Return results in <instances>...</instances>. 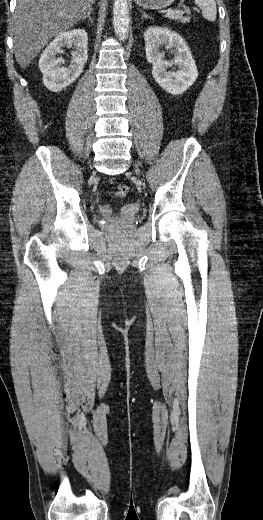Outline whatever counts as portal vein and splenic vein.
I'll use <instances>...</instances> for the list:
<instances>
[{
	"label": "portal vein and splenic vein",
	"instance_id": "18ae733b",
	"mask_svg": "<svg viewBox=\"0 0 263 520\" xmlns=\"http://www.w3.org/2000/svg\"><path fill=\"white\" fill-rule=\"evenodd\" d=\"M171 14H172V10H167V12H166V15H165V16H166V17H168V16H169V15H171Z\"/></svg>",
	"mask_w": 263,
	"mask_h": 520
}]
</instances>
